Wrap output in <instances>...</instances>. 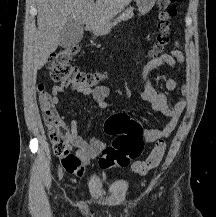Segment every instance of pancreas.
Returning a JSON list of instances; mask_svg holds the SVG:
<instances>
[{"instance_id":"pancreas-1","label":"pancreas","mask_w":216,"mask_h":217,"mask_svg":"<svg viewBox=\"0 0 216 217\" xmlns=\"http://www.w3.org/2000/svg\"><path fill=\"white\" fill-rule=\"evenodd\" d=\"M133 15H134V13H133V8H132V7L127 8V9L125 10V12H123L121 15H119V16L115 19V21L127 20V19L131 18Z\"/></svg>"}]
</instances>
